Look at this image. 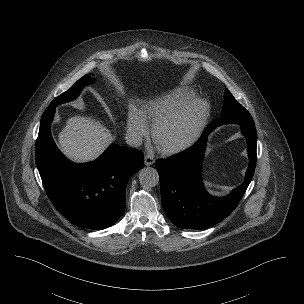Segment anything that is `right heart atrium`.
I'll list each match as a JSON object with an SVG mask.
<instances>
[{
  "label": "right heart atrium",
  "mask_w": 304,
  "mask_h": 304,
  "mask_svg": "<svg viewBox=\"0 0 304 304\" xmlns=\"http://www.w3.org/2000/svg\"><path fill=\"white\" fill-rule=\"evenodd\" d=\"M127 130L135 143H139L148 135L149 127L146 119L137 111H132L128 117Z\"/></svg>",
  "instance_id": "d8ad5b80"
}]
</instances>
